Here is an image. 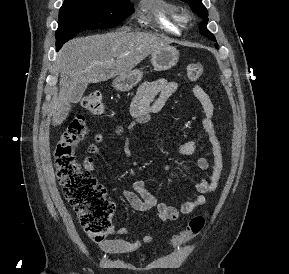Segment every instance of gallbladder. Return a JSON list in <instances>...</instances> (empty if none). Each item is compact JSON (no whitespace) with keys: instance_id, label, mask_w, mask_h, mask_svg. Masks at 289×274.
Masks as SVG:
<instances>
[{"instance_id":"gallbladder-1","label":"gallbladder","mask_w":289,"mask_h":274,"mask_svg":"<svg viewBox=\"0 0 289 274\" xmlns=\"http://www.w3.org/2000/svg\"><path fill=\"white\" fill-rule=\"evenodd\" d=\"M87 88V84H78L72 93V101L73 103H77L80 101L85 89Z\"/></svg>"}]
</instances>
